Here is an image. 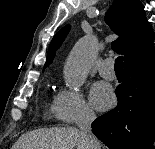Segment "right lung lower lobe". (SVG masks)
Listing matches in <instances>:
<instances>
[{
    "instance_id": "1",
    "label": "right lung lower lobe",
    "mask_w": 155,
    "mask_h": 149,
    "mask_svg": "<svg viewBox=\"0 0 155 149\" xmlns=\"http://www.w3.org/2000/svg\"><path fill=\"white\" fill-rule=\"evenodd\" d=\"M124 68L117 107L98 117L92 132L110 149H154L155 56Z\"/></svg>"
}]
</instances>
